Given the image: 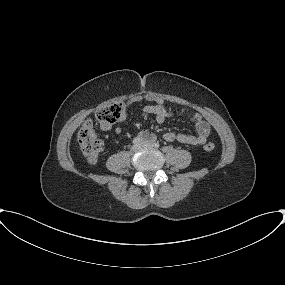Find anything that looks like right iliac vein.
I'll return each instance as SVG.
<instances>
[{
    "instance_id": "obj_1",
    "label": "right iliac vein",
    "mask_w": 285,
    "mask_h": 285,
    "mask_svg": "<svg viewBox=\"0 0 285 285\" xmlns=\"http://www.w3.org/2000/svg\"><path fill=\"white\" fill-rule=\"evenodd\" d=\"M141 147H142V144H135V145H133L132 150L138 151Z\"/></svg>"
}]
</instances>
